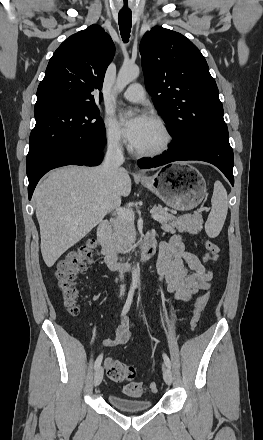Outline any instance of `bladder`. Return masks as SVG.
I'll use <instances>...</instances> for the list:
<instances>
[{"label":"bladder","instance_id":"obj_1","mask_svg":"<svg viewBox=\"0 0 263 440\" xmlns=\"http://www.w3.org/2000/svg\"><path fill=\"white\" fill-rule=\"evenodd\" d=\"M108 400L115 408L126 412L145 411L153 406L150 399L128 398L114 393L108 395Z\"/></svg>","mask_w":263,"mask_h":440}]
</instances>
